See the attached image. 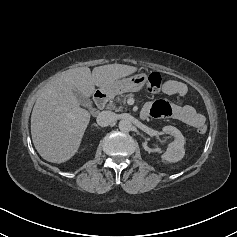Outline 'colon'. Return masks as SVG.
<instances>
[{"mask_svg": "<svg viewBox=\"0 0 237 237\" xmlns=\"http://www.w3.org/2000/svg\"><path fill=\"white\" fill-rule=\"evenodd\" d=\"M144 81H145V87L149 92L155 93L161 89L162 78L161 75L157 72L146 74ZM206 130L207 128L205 125L198 128V132L201 134L205 133Z\"/></svg>", "mask_w": 237, "mask_h": 237, "instance_id": "colon-1", "label": "colon"}]
</instances>
